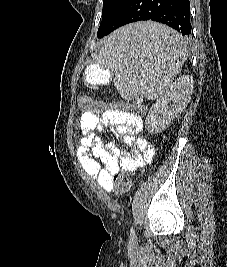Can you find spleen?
Instances as JSON below:
<instances>
[{
    "mask_svg": "<svg viewBox=\"0 0 227 267\" xmlns=\"http://www.w3.org/2000/svg\"><path fill=\"white\" fill-rule=\"evenodd\" d=\"M97 47L110 63H126V67H109L117 72L114 82L126 96L141 91L156 98L171 85L187 57V44L182 36L156 19H136L120 25L116 33L102 36Z\"/></svg>",
    "mask_w": 227,
    "mask_h": 267,
    "instance_id": "1",
    "label": "spleen"
}]
</instances>
